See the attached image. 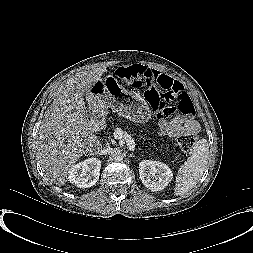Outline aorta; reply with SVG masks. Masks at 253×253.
<instances>
[{"mask_svg":"<svg viewBox=\"0 0 253 253\" xmlns=\"http://www.w3.org/2000/svg\"><path fill=\"white\" fill-rule=\"evenodd\" d=\"M114 159L117 162L122 161L123 160V154H121V153L116 154L115 157H114Z\"/></svg>","mask_w":253,"mask_h":253,"instance_id":"obj_1","label":"aorta"}]
</instances>
